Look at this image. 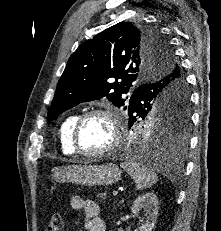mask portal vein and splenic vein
Returning a JSON list of instances; mask_svg holds the SVG:
<instances>
[{
  "mask_svg": "<svg viewBox=\"0 0 221 231\" xmlns=\"http://www.w3.org/2000/svg\"><path fill=\"white\" fill-rule=\"evenodd\" d=\"M112 195L116 197L118 195V191H113Z\"/></svg>",
  "mask_w": 221,
  "mask_h": 231,
  "instance_id": "portal-vein-and-splenic-vein-1",
  "label": "portal vein and splenic vein"
}]
</instances>
